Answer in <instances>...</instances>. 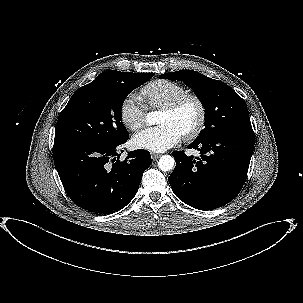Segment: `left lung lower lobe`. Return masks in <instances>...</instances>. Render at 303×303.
I'll use <instances>...</instances> for the list:
<instances>
[{
  "mask_svg": "<svg viewBox=\"0 0 303 303\" xmlns=\"http://www.w3.org/2000/svg\"><path fill=\"white\" fill-rule=\"evenodd\" d=\"M188 148L200 151V158L172 153L176 167L168 181L174 194L199 210L221 207L241 191L254 149V134L233 133L204 141Z\"/></svg>",
  "mask_w": 303,
  "mask_h": 303,
  "instance_id": "obj_1",
  "label": "left lung lower lobe"
}]
</instances>
